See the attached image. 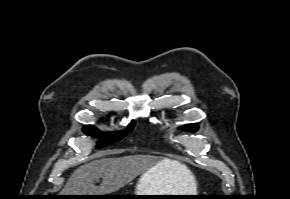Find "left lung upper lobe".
Instances as JSON below:
<instances>
[{
	"mask_svg": "<svg viewBox=\"0 0 290 199\" xmlns=\"http://www.w3.org/2000/svg\"><path fill=\"white\" fill-rule=\"evenodd\" d=\"M182 129L196 131L198 129V126L195 124H189L182 127Z\"/></svg>",
	"mask_w": 290,
	"mask_h": 199,
	"instance_id": "obj_1",
	"label": "left lung upper lobe"
}]
</instances>
